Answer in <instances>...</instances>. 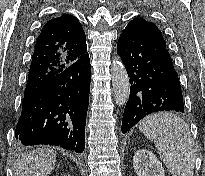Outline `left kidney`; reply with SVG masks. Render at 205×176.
<instances>
[{
    "label": "left kidney",
    "mask_w": 205,
    "mask_h": 176,
    "mask_svg": "<svg viewBox=\"0 0 205 176\" xmlns=\"http://www.w3.org/2000/svg\"><path fill=\"white\" fill-rule=\"evenodd\" d=\"M133 167L138 176H165L161 162L147 149L135 152Z\"/></svg>",
    "instance_id": "1"
}]
</instances>
